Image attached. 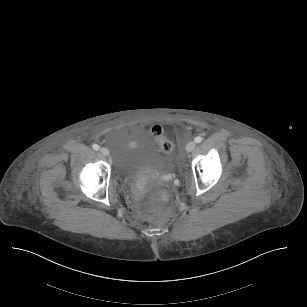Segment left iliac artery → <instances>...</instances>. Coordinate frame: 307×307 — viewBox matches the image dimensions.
I'll return each mask as SVG.
<instances>
[{
  "label": "left iliac artery",
  "instance_id": "44dca946",
  "mask_svg": "<svg viewBox=\"0 0 307 307\" xmlns=\"http://www.w3.org/2000/svg\"><path fill=\"white\" fill-rule=\"evenodd\" d=\"M194 140L196 143H200L202 142L203 138L201 136H197Z\"/></svg>",
  "mask_w": 307,
  "mask_h": 307
}]
</instances>
